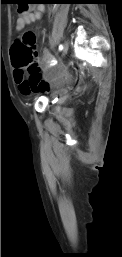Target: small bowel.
<instances>
[{
    "instance_id": "c3829d8e",
    "label": "small bowel",
    "mask_w": 122,
    "mask_h": 257,
    "mask_svg": "<svg viewBox=\"0 0 122 257\" xmlns=\"http://www.w3.org/2000/svg\"><path fill=\"white\" fill-rule=\"evenodd\" d=\"M44 12L45 7L39 5L20 13L16 20L15 29L17 31L23 30L27 25L40 20ZM53 66L54 58L51 53L45 49L42 53L40 73L36 79H32L31 76L26 74L22 69H15L14 76L21 94L30 95L33 92L48 90V77L54 78V80H58L59 78H74V73H62L61 70L52 71ZM63 84H72V79H63Z\"/></svg>"
}]
</instances>
